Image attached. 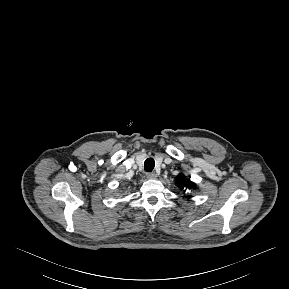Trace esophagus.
<instances>
[{
    "label": "esophagus",
    "instance_id": "obj_1",
    "mask_svg": "<svg viewBox=\"0 0 289 289\" xmlns=\"http://www.w3.org/2000/svg\"><path fill=\"white\" fill-rule=\"evenodd\" d=\"M156 177H157V175L154 172H150L147 174L148 179H155Z\"/></svg>",
    "mask_w": 289,
    "mask_h": 289
}]
</instances>
